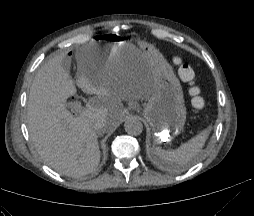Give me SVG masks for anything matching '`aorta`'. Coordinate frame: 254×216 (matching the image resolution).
<instances>
[{"label":"aorta","instance_id":"762f6f07","mask_svg":"<svg viewBox=\"0 0 254 216\" xmlns=\"http://www.w3.org/2000/svg\"><path fill=\"white\" fill-rule=\"evenodd\" d=\"M124 129L127 134L131 136H138L143 131V124L136 118H129L124 124Z\"/></svg>","mask_w":254,"mask_h":216}]
</instances>
